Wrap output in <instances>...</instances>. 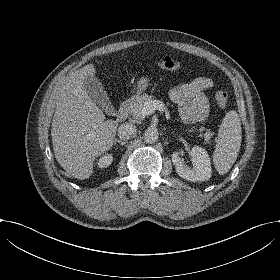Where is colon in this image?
<instances>
[{
    "label": "colon",
    "instance_id": "1",
    "mask_svg": "<svg viewBox=\"0 0 280 280\" xmlns=\"http://www.w3.org/2000/svg\"><path fill=\"white\" fill-rule=\"evenodd\" d=\"M179 67H180V62L176 58H169L166 61H164L162 64V69L166 73H171L173 71H176L179 69ZM214 96H215L217 105L220 108H225L227 106L228 96H227L226 92L219 90L214 93Z\"/></svg>",
    "mask_w": 280,
    "mask_h": 280
}]
</instances>
